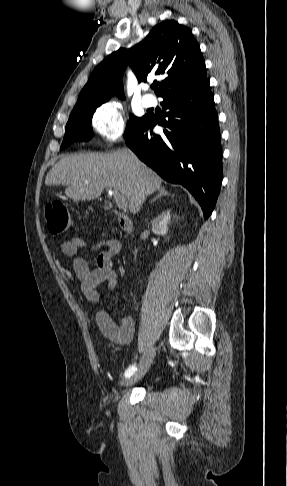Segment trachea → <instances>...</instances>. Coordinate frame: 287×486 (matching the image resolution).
Returning a JSON list of instances; mask_svg holds the SVG:
<instances>
[{
  "label": "trachea",
  "instance_id": "1",
  "mask_svg": "<svg viewBox=\"0 0 287 486\" xmlns=\"http://www.w3.org/2000/svg\"><path fill=\"white\" fill-rule=\"evenodd\" d=\"M155 86H156V85H155V84H153L151 87L154 89V88H155Z\"/></svg>",
  "mask_w": 287,
  "mask_h": 486
}]
</instances>
